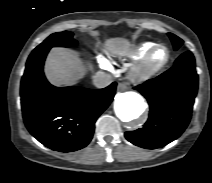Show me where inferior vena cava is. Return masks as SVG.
Returning <instances> with one entry per match:
<instances>
[{"label": "inferior vena cava", "instance_id": "obj_1", "mask_svg": "<svg viewBox=\"0 0 212 183\" xmlns=\"http://www.w3.org/2000/svg\"><path fill=\"white\" fill-rule=\"evenodd\" d=\"M93 83L97 88H104L112 83V77L110 74L99 71L93 76Z\"/></svg>", "mask_w": 212, "mask_h": 183}]
</instances>
